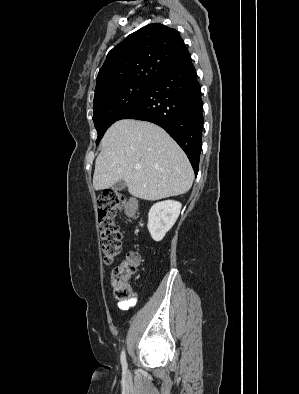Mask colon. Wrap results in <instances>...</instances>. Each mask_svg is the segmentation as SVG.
<instances>
[{
	"label": "colon",
	"mask_w": 299,
	"mask_h": 394,
	"mask_svg": "<svg viewBox=\"0 0 299 394\" xmlns=\"http://www.w3.org/2000/svg\"><path fill=\"white\" fill-rule=\"evenodd\" d=\"M125 202V196L114 190L103 192L96 200L101 251L105 263H112L120 254L121 233L114 217ZM139 264V254L131 251L113 270L110 285L116 299L125 301L132 298L131 280Z\"/></svg>",
	"instance_id": "5ec220e1"
}]
</instances>
